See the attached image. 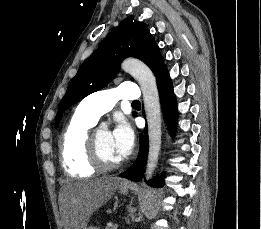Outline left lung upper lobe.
<instances>
[{
  "label": "left lung upper lobe",
  "instance_id": "obj_1",
  "mask_svg": "<svg viewBox=\"0 0 261 229\" xmlns=\"http://www.w3.org/2000/svg\"><path fill=\"white\" fill-rule=\"evenodd\" d=\"M127 57L142 60L155 76L167 69L147 25L133 17L122 20L73 77L60 102L55 126H58L63 113L70 106L106 87L115 78L121 61Z\"/></svg>",
  "mask_w": 261,
  "mask_h": 229
}]
</instances>
